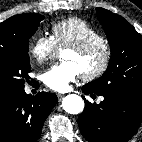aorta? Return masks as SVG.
<instances>
[{"label":"aorta","mask_w":142,"mask_h":142,"mask_svg":"<svg viewBox=\"0 0 142 142\" xmlns=\"http://www.w3.org/2000/svg\"><path fill=\"white\" fill-rule=\"evenodd\" d=\"M62 106L70 114H79L84 109V101L76 94H69L63 98Z\"/></svg>","instance_id":"obj_1"}]
</instances>
